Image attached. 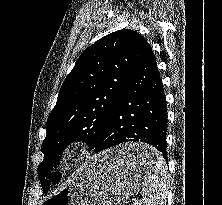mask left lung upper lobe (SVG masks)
Returning <instances> with one entry per match:
<instances>
[{"label":"left lung upper lobe","mask_w":222,"mask_h":205,"mask_svg":"<svg viewBox=\"0 0 222 205\" xmlns=\"http://www.w3.org/2000/svg\"><path fill=\"white\" fill-rule=\"evenodd\" d=\"M148 42L135 31L113 32L87 48L66 77L51 111L38 167L43 192L61 175L51 173L59 154L74 141L93 149L107 125L115 103ZM50 174V179L46 177Z\"/></svg>","instance_id":"5c2ea615"}]
</instances>
